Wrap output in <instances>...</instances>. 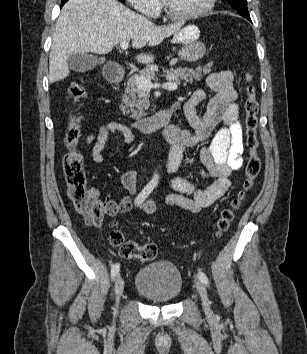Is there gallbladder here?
<instances>
[{
	"label": "gallbladder",
	"instance_id": "1",
	"mask_svg": "<svg viewBox=\"0 0 307 354\" xmlns=\"http://www.w3.org/2000/svg\"><path fill=\"white\" fill-rule=\"evenodd\" d=\"M103 62V59H97V57L87 53L72 54L67 60L69 68L76 72L90 71L94 69L97 64Z\"/></svg>",
	"mask_w": 307,
	"mask_h": 354
}]
</instances>
